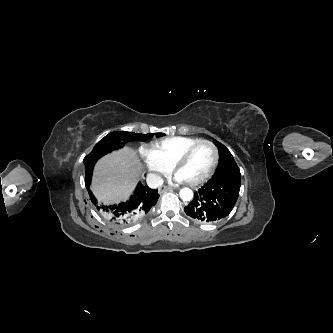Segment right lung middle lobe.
<instances>
[{
	"instance_id": "dd1d6c3e",
	"label": "right lung middle lobe",
	"mask_w": 333,
	"mask_h": 333,
	"mask_svg": "<svg viewBox=\"0 0 333 333\" xmlns=\"http://www.w3.org/2000/svg\"><path fill=\"white\" fill-rule=\"evenodd\" d=\"M157 137L163 136V133H157ZM153 134H137L131 132H112L101 139L93 148L90 156L105 155L113 150L119 149L125 143L137 139H145L152 137Z\"/></svg>"
}]
</instances>
